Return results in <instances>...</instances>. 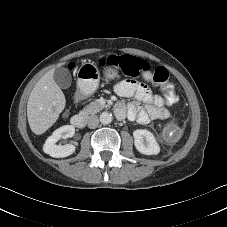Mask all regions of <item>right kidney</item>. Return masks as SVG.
Here are the masks:
<instances>
[{"mask_svg":"<svg viewBox=\"0 0 227 227\" xmlns=\"http://www.w3.org/2000/svg\"><path fill=\"white\" fill-rule=\"evenodd\" d=\"M75 134V127L72 125H65L56 129L51 136H49L43 146V151L51 157L63 158L75 152L73 144L57 145L60 139H67L73 137Z\"/></svg>","mask_w":227,"mask_h":227,"instance_id":"obj_1","label":"right kidney"}]
</instances>
